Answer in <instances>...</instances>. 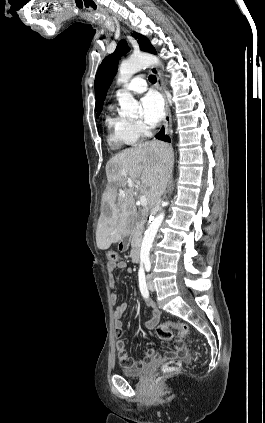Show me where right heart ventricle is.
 Listing matches in <instances>:
<instances>
[{"instance_id":"obj_1","label":"right heart ventricle","mask_w":265,"mask_h":423,"mask_svg":"<svg viewBox=\"0 0 265 423\" xmlns=\"http://www.w3.org/2000/svg\"><path fill=\"white\" fill-rule=\"evenodd\" d=\"M105 124L108 130V142L113 147L131 146L140 138L134 129L133 121L115 114L112 106L109 108Z\"/></svg>"}]
</instances>
